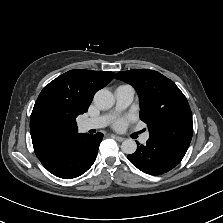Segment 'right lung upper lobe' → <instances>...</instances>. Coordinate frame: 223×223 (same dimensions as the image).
<instances>
[{"mask_svg":"<svg viewBox=\"0 0 223 223\" xmlns=\"http://www.w3.org/2000/svg\"><path fill=\"white\" fill-rule=\"evenodd\" d=\"M114 75L75 69L43 88L30 118L32 143L39 160L51 156L78 135L76 117L87 112L94 94Z\"/></svg>","mask_w":223,"mask_h":223,"instance_id":"cb5924a9","label":"right lung upper lobe"}]
</instances>
